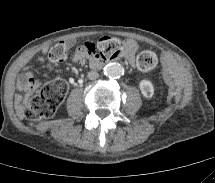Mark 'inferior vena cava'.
Masks as SVG:
<instances>
[{
  "instance_id": "1",
  "label": "inferior vena cava",
  "mask_w": 215,
  "mask_h": 183,
  "mask_svg": "<svg viewBox=\"0 0 215 183\" xmlns=\"http://www.w3.org/2000/svg\"><path fill=\"white\" fill-rule=\"evenodd\" d=\"M99 77V74H98V72H96V71H90L89 73H88V78L90 79V80H95V79H97Z\"/></svg>"
}]
</instances>
